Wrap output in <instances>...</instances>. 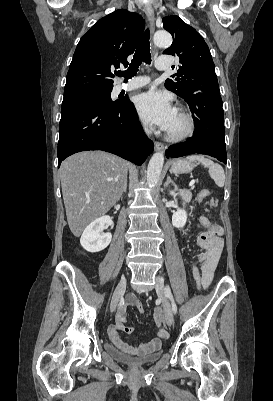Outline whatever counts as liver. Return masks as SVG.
Returning <instances> with one entry per match:
<instances>
[{
    "instance_id": "1",
    "label": "liver",
    "mask_w": 273,
    "mask_h": 401,
    "mask_svg": "<svg viewBox=\"0 0 273 401\" xmlns=\"http://www.w3.org/2000/svg\"><path fill=\"white\" fill-rule=\"evenodd\" d=\"M128 168L127 160L103 150H84L63 160L59 168L62 194L75 237L119 201Z\"/></svg>"
}]
</instances>
